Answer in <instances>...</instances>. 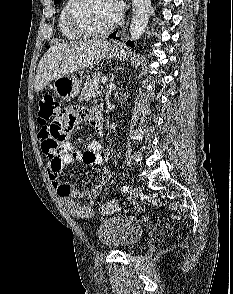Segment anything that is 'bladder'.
Returning a JSON list of instances; mask_svg holds the SVG:
<instances>
[{"label": "bladder", "mask_w": 233, "mask_h": 294, "mask_svg": "<svg viewBox=\"0 0 233 294\" xmlns=\"http://www.w3.org/2000/svg\"><path fill=\"white\" fill-rule=\"evenodd\" d=\"M143 233L142 226L135 219L125 215L109 217L97 228L100 243L107 248L118 250L136 247Z\"/></svg>", "instance_id": "1"}]
</instances>
